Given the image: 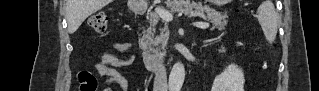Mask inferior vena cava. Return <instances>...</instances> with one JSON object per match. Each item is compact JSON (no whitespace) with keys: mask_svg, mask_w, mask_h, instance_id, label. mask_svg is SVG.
<instances>
[{"mask_svg":"<svg viewBox=\"0 0 319 91\" xmlns=\"http://www.w3.org/2000/svg\"><path fill=\"white\" fill-rule=\"evenodd\" d=\"M167 75L164 65H160L155 71L153 91H167Z\"/></svg>","mask_w":319,"mask_h":91,"instance_id":"1","label":"inferior vena cava"}]
</instances>
